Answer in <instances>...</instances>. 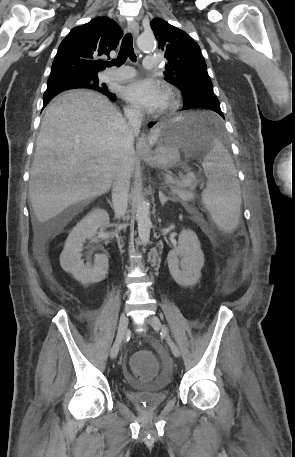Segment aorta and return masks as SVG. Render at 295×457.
<instances>
[{
	"label": "aorta",
	"mask_w": 295,
	"mask_h": 457,
	"mask_svg": "<svg viewBox=\"0 0 295 457\" xmlns=\"http://www.w3.org/2000/svg\"><path fill=\"white\" fill-rule=\"evenodd\" d=\"M137 45L141 50H152L155 46L154 35L141 34L137 38ZM136 219L138 223L139 239L142 244L146 246L149 242L152 223L150 219V205L143 197H139L137 202Z\"/></svg>",
	"instance_id": "aorta-1"
}]
</instances>
